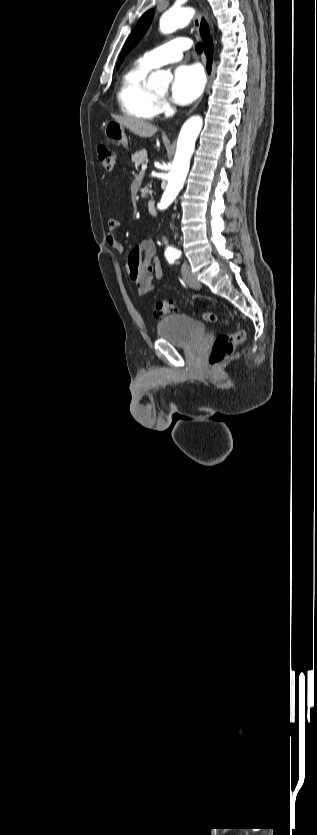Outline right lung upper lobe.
<instances>
[{"label":"right lung upper lobe","mask_w":317,"mask_h":835,"mask_svg":"<svg viewBox=\"0 0 317 835\" xmlns=\"http://www.w3.org/2000/svg\"><path fill=\"white\" fill-rule=\"evenodd\" d=\"M205 29H207V24L204 20H202L201 27H200V33L202 34Z\"/></svg>","instance_id":"1"}]
</instances>
